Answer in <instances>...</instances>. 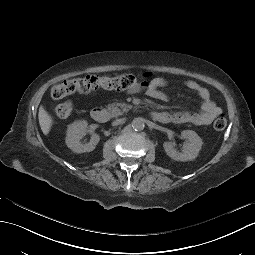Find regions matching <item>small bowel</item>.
<instances>
[{
    "mask_svg": "<svg viewBox=\"0 0 255 255\" xmlns=\"http://www.w3.org/2000/svg\"><path fill=\"white\" fill-rule=\"evenodd\" d=\"M169 83L167 79L154 78L148 82H143L139 86L130 89L131 93L139 92L141 90L154 98H162L164 95L161 93L160 88ZM184 85L195 92L200 98V110L198 112H177L172 113L171 121L173 123H191L197 126L210 124L220 113L221 109L212 100L209 91L193 80L184 81Z\"/></svg>",
    "mask_w": 255,
    "mask_h": 255,
    "instance_id": "small-bowel-1",
    "label": "small bowel"
}]
</instances>
